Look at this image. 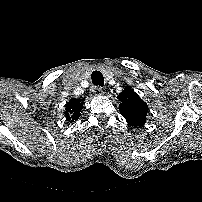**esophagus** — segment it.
I'll list each match as a JSON object with an SVG mask.
<instances>
[{
  "mask_svg": "<svg viewBox=\"0 0 202 202\" xmlns=\"http://www.w3.org/2000/svg\"><path fill=\"white\" fill-rule=\"evenodd\" d=\"M93 92L97 95H102V94H104V89L100 86H95L93 88Z\"/></svg>",
  "mask_w": 202,
  "mask_h": 202,
  "instance_id": "esophagus-1",
  "label": "esophagus"
}]
</instances>
